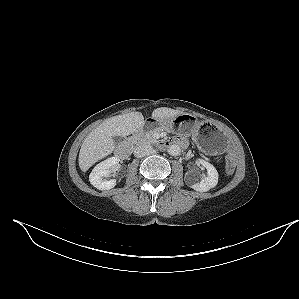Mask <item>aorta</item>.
Listing matches in <instances>:
<instances>
[{
    "instance_id": "1",
    "label": "aorta",
    "mask_w": 299,
    "mask_h": 299,
    "mask_svg": "<svg viewBox=\"0 0 299 299\" xmlns=\"http://www.w3.org/2000/svg\"><path fill=\"white\" fill-rule=\"evenodd\" d=\"M181 152V149L178 145L176 144H173L171 145L169 148H168V153L171 155V156H177L179 155Z\"/></svg>"
}]
</instances>
